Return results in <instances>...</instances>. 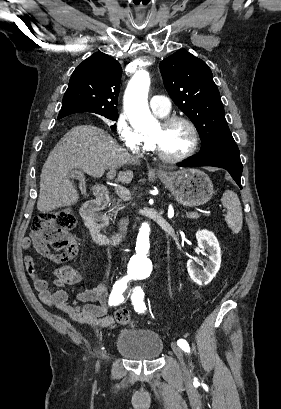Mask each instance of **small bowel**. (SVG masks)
Instances as JSON below:
<instances>
[{
    "label": "small bowel",
    "instance_id": "1",
    "mask_svg": "<svg viewBox=\"0 0 281 409\" xmlns=\"http://www.w3.org/2000/svg\"><path fill=\"white\" fill-rule=\"evenodd\" d=\"M31 236L33 237V233ZM33 245L37 252L49 256L40 238H35ZM31 246L30 238L22 241L24 250H29ZM25 268L40 300L66 314L72 321L102 329H112L120 323L115 315L107 314L110 307L108 281H103L92 289L76 290L72 286L82 280V273L70 265H62L53 270V286H50L47 280L37 275L31 256L25 257Z\"/></svg>",
    "mask_w": 281,
    "mask_h": 409
}]
</instances>
